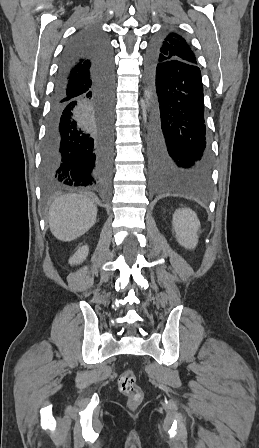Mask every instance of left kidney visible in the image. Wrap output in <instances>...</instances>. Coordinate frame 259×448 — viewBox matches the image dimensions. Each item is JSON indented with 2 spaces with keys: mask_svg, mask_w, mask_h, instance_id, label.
<instances>
[{
  "mask_svg": "<svg viewBox=\"0 0 259 448\" xmlns=\"http://www.w3.org/2000/svg\"><path fill=\"white\" fill-rule=\"evenodd\" d=\"M173 232L176 234V240L183 248H196L198 244L197 232L200 222L197 214L190 208H178L173 214Z\"/></svg>",
  "mask_w": 259,
  "mask_h": 448,
  "instance_id": "obj_1",
  "label": "left kidney"
}]
</instances>
